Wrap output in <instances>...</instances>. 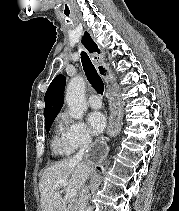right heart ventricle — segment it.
<instances>
[{
	"instance_id": "1",
	"label": "right heart ventricle",
	"mask_w": 179,
	"mask_h": 211,
	"mask_svg": "<svg viewBox=\"0 0 179 211\" xmlns=\"http://www.w3.org/2000/svg\"><path fill=\"white\" fill-rule=\"evenodd\" d=\"M61 126L57 125L56 127V136L54 137L53 143H52V149L55 152V154L59 156H65L70 153L69 149L66 147L64 142L62 141L61 136L58 135L60 133Z\"/></svg>"
}]
</instances>
